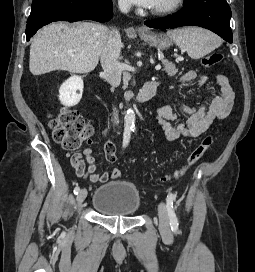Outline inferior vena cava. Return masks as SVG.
<instances>
[{
  "label": "inferior vena cava",
  "mask_w": 255,
  "mask_h": 272,
  "mask_svg": "<svg viewBox=\"0 0 255 272\" xmlns=\"http://www.w3.org/2000/svg\"><path fill=\"white\" fill-rule=\"evenodd\" d=\"M119 9L122 13H128L130 3L127 0H119ZM121 50V37L118 29H111L107 43L101 54V66L104 70L107 82L112 88L118 87L121 82L122 66L118 61ZM114 122L119 124L117 110L114 109Z\"/></svg>",
  "instance_id": "obj_1"
}]
</instances>
